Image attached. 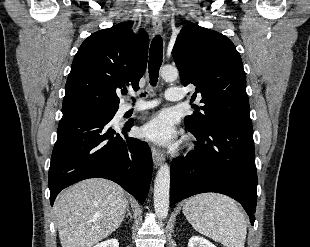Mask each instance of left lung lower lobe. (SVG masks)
<instances>
[{
	"label": "left lung lower lobe",
	"instance_id": "obj_1",
	"mask_svg": "<svg viewBox=\"0 0 310 247\" xmlns=\"http://www.w3.org/2000/svg\"><path fill=\"white\" fill-rule=\"evenodd\" d=\"M197 138L194 151L172 161L170 206L190 196L217 192L242 204L254 224L257 171L250 123L220 122Z\"/></svg>",
	"mask_w": 310,
	"mask_h": 247
}]
</instances>
